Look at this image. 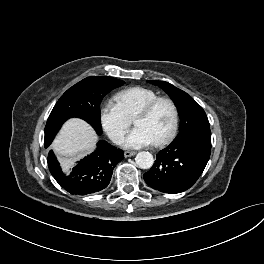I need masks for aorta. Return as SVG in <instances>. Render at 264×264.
I'll use <instances>...</instances> for the list:
<instances>
[{
    "mask_svg": "<svg viewBox=\"0 0 264 264\" xmlns=\"http://www.w3.org/2000/svg\"><path fill=\"white\" fill-rule=\"evenodd\" d=\"M135 161L138 167H140L141 169H149L154 163L152 154L146 151L139 152L136 155Z\"/></svg>",
    "mask_w": 264,
    "mask_h": 264,
    "instance_id": "obj_1",
    "label": "aorta"
}]
</instances>
